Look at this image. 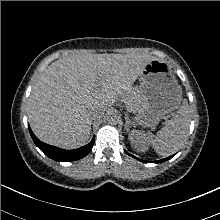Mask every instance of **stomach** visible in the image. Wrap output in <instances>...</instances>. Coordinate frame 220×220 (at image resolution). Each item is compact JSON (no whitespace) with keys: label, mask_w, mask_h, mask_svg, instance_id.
<instances>
[{"label":"stomach","mask_w":220,"mask_h":220,"mask_svg":"<svg viewBox=\"0 0 220 220\" xmlns=\"http://www.w3.org/2000/svg\"><path fill=\"white\" fill-rule=\"evenodd\" d=\"M140 101L132 111L133 123L145 127L156 126L181 103L182 90L169 65L162 60L150 61L141 72Z\"/></svg>","instance_id":"stomach-1"}]
</instances>
